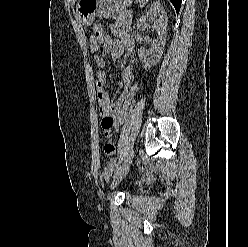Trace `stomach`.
I'll list each match as a JSON object with an SVG mask.
<instances>
[{
  "label": "stomach",
  "instance_id": "obj_1",
  "mask_svg": "<svg viewBox=\"0 0 248 247\" xmlns=\"http://www.w3.org/2000/svg\"><path fill=\"white\" fill-rule=\"evenodd\" d=\"M132 0H79L76 15L83 25L92 24L96 16L110 17L117 9L125 8Z\"/></svg>",
  "mask_w": 248,
  "mask_h": 247
}]
</instances>
